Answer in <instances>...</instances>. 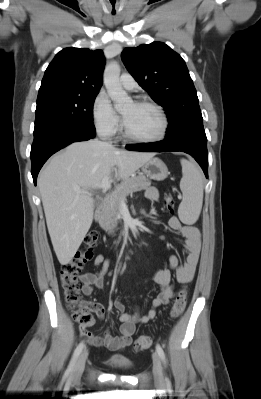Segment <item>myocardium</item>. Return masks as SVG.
I'll use <instances>...</instances> for the list:
<instances>
[{
  "instance_id": "myocardium-1",
  "label": "myocardium",
  "mask_w": 261,
  "mask_h": 399,
  "mask_svg": "<svg viewBox=\"0 0 261 399\" xmlns=\"http://www.w3.org/2000/svg\"><path fill=\"white\" fill-rule=\"evenodd\" d=\"M135 103H137L139 105L149 106V107L155 109L161 117L162 127H161L159 134H157L154 137H139L137 135H134L128 129V127L125 123V120L123 118L122 119V128H123L124 136L127 139L138 142V143H156V142L163 140L169 131V119H168V116H167L166 112L164 111V109L158 103H156L152 100H148V99H139V100L135 101Z\"/></svg>"
}]
</instances>
